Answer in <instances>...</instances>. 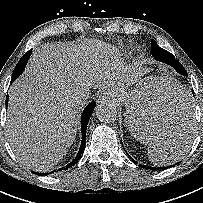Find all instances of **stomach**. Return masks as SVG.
I'll return each mask as SVG.
<instances>
[{"label": "stomach", "instance_id": "0dacf381", "mask_svg": "<svg viewBox=\"0 0 203 203\" xmlns=\"http://www.w3.org/2000/svg\"><path fill=\"white\" fill-rule=\"evenodd\" d=\"M150 82H145V89H143L141 92H128V93H119L118 95H116L113 99L118 101V102H122L125 107H126V123L131 119V117L133 116V112L134 109L136 108L138 102L141 100L144 92L146 91V89L148 88ZM158 120V116L157 114H154L152 116V124H156ZM128 126V124H127ZM148 137L145 135V139H147Z\"/></svg>", "mask_w": 203, "mask_h": 203}]
</instances>
